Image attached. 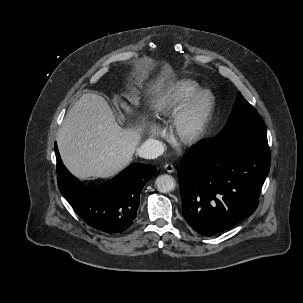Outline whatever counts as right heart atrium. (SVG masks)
Instances as JSON below:
<instances>
[{"label":"right heart atrium","mask_w":303,"mask_h":303,"mask_svg":"<svg viewBox=\"0 0 303 303\" xmlns=\"http://www.w3.org/2000/svg\"><path fill=\"white\" fill-rule=\"evenodd\" d=\"M148 132L151 137H157L160 134L159 129L153 125L149 126Z\"/></svg>","instance_id":"obj_1"}]
</instances>
